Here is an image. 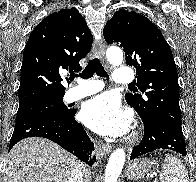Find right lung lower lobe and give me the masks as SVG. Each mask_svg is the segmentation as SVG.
Instances as JSON below:
<instances>
[{
    "instance_id": "1",
    "label": "right lung lower lobe",
    "mask_w": 196,
    "mask_h": 182,
    "mask_svg": "<svg viewBox=\"0 0 196 182\" xmlns=\"http://www.w3.org/2000/svg\"><path fill=\"white\" fill-rule=\"evenodd\" d=\"M75 113L76 110H73L65 117L38 116L16 123L9 150L24 138L44 137L56 142L91 166L96 161L95 156L91 158L94 144L82 125L75 120Z\"/></svg>"
}]
</instances>
